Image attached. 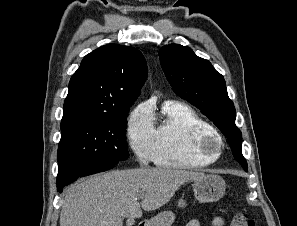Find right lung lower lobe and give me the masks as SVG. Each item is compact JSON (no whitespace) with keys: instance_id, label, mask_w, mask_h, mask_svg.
<instances>
[{"instance_id":"right-lung-lower-lobe-1","label":"right lung lower lobe","mask_w":297,"mask_h":226,"mask_svg":"<svg viewBox=\"0 0 297 226\" xmlns=\"http://www.w3.org/2000/svg\"><path fill=\"white\" fill-rule=\"evenodd\" d=\"M116 163L112 162H99L91 163L83 166H76L69 168L63 172H59L57 176V191L62 192L63 187L75 181L78 177H83L98 172L106 171L114 167Z\"/></svg>"}]
</instances>
